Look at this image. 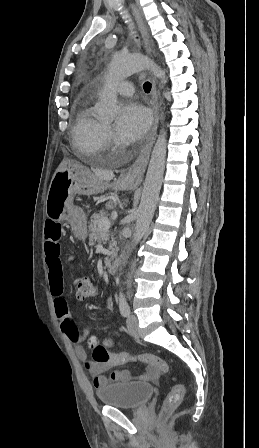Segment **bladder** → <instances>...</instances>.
I'll return each instance as SVG.
<instances>
[{
	"label": "bladder",
	"mask_w": 259,
	"mask_h": 448,
	"mask_svg": "<svg viewBox=\"0 0 259 448\" xmlns=\"http://www.w3.org/2000/svg\"><path fill=\"white\" fill-rule=\"evenodd\" d=\"M153 393L154 387L149 383H116L100 389L97 398L107 406L135 409L146 404Z\"/></svg>",
	"instance_id": "bladder-1"
}]
</instances>
